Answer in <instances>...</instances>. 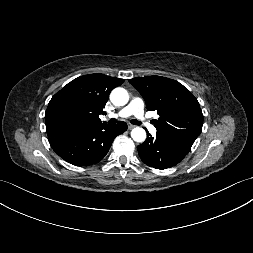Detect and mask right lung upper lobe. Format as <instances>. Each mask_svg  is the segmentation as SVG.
Wrapping results in <instances>:
<instances>
[{
  "instance_id": "1",
  "label": "right lung upper lobe",
  "mask_w": 253,
  "mask_h": 253,
  "mask_svg": "<svg viewBox=\"0 0 253 253\" xmlns=\"http://www.w3.org/2000/svg\"><path fill=\"white\" fill-rule=\"evenodd\" d=\"M123 82V79L99 73L78 77L52 97L45 117L58 111H70L78 120L77 132L102 125L99 115L104 114L108 96Z\"/></svg>"
}]
</instances>
